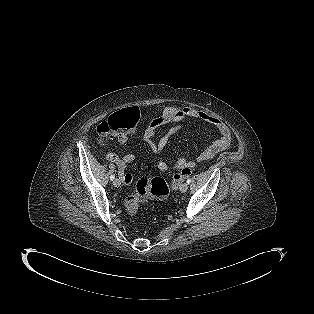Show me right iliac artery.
Instances as JSON below:
<instances>
[{
    "label": "right iliac artery",
    "mask_w": 314,
    "mask_h": 314,
    "mask_svg": "<svg viewBox=\"0 0 314 314\" xmlns=\"http://www.w3.org/2000/svg\"><path fill=\"white\" fill-rule=\"evenodd\" d=\"M114 179H115V175L113 174L110 176V180L113 181Z\"/></svg>",
    "instance_id": "right-iliac-artery-1"
}]
</instances>
